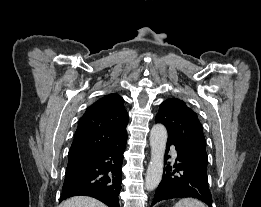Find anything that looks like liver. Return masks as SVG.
<instances>
[{"label":"liver","mask_w":261,"mask_h":207,"mask_svg":"<svg viewBox=\"0 0 261 207\" xmlns=\"http://www.w3.org/2000/svg\"><path fill=\"white\" fill-rule=\"evenodd\" d=\"M59 207H107L102 202L86 197V196H76L69 198L62 202V204Z\"/></svg>","instance_id":"1"}]
</instances>
